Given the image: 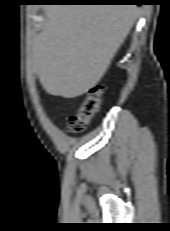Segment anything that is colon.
<instances>
[{
    "label": "colon",
    "mask_w": 170,
    "mask_h": 231,
    "mask_svg": "<svg viewBox=\"0 0 170 231\" xmlns=\"http://www.w3.org/2000/svg\"><path fill=\"white\" fill-rule=\"evenodd\" d=\"M104 87L97 84L91 87L79 104L76 113L68 120L67 130L71 133L83 131L94 119L103 102Z\"/></svg>",
    "instance_id": "1"
}]
</instances>
